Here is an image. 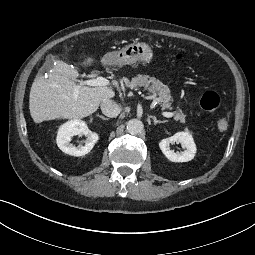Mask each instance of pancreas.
I'll return each mask as SVG.
<instances>
[{
    "instance_id": "pancreas-1",
    "label": "pancreas",
    "mask_w": 255,
    "mask_h": 255,
    "mask_svg": "<svg viewBox=\"0 0 255 255\" xmlns=\"http://www.w3.org/2000/svg\"><path fill=\"white\" fill-rule=\"evenodd\" d=\"M131 89L137 90L140 87H143L144 90L149 92L156 93L158 95L159 103L161 104L162 109H172L170 101L172 97L170 95L169 88L163 84L160 80L155 77H149L148 75H138L137 77L132 78L131 82L128 85ZM185 115L182 113H177L175 120L184 121Z\"/></svg>"
}]
</instances>
